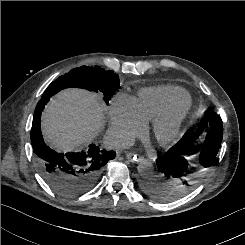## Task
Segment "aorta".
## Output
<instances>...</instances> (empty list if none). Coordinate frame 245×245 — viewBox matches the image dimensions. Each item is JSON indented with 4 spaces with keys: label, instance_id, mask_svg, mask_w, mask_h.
Wrapping results in <instances>:
<instances>
[{
    "label": "aorta",
    "instance_id": "aorta-1",
    "mask_svg": "<svg viewBox=\"0 0 245 245\" xmlns=\"http://www.w3.org/2000/svg\"><path fill=\"white\" fill-rule=\"evenodd\" d=\"M153 170H154L153 164L148 160L141 161L137 166L138 173L140 174V176L144 178L151 176Z\"/></svg>",
    "mask_w": 245,
    "mask_h": 245
}]
</instances>
